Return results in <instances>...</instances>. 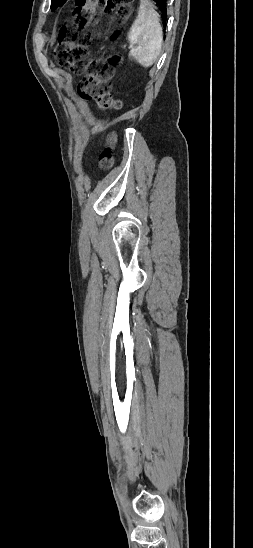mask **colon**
Returning <instances> with one entry per match:
<instances>
[{
  "label": "colon",
  "instance_id": "1",
  "mask_svg": "<svg viewBox=\"0 0 253 548\" xmlns=\"http://www.w3.org/2000/svg\"><path fill=\"white\" fill-rule=\"evenodd\" d=\"M117 8L121 18L130 15V0H75V28L64 26L58 36L54 56L58 63L76 74H84L78 85V93L84 100L94 101L100 109H119L121 101L111 95V80L116 56L93 59L89 56L90 38L83 30L94 20L98 7ZM114 134L108 137L107 147L100 153L99 165L109 169L113 164L112 147Z\"/></svg>",
  "mask_w": 253,
  "mask_h": 548
}]
</instances>
